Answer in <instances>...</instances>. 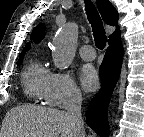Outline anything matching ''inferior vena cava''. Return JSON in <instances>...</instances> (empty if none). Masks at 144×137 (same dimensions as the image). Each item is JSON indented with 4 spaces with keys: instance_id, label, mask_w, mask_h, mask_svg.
I'll return each instance as SVG.
<instances>
[{
    "instance_id": "obj_1",
    "label": "inferior vena cava",
    "mask_w": 144,
    "mask_h": 137,
    "mask_svg": "<svg viewBox=\"0 0 144 137\" xmlns=\"http://www.w3.org/2000/svg\"><path fill=\"white\" fill-rule=\"evenodd\" d=\"M81 103V94L77 91H73L70 94L66 110L71 119L72 127L76 131L75 137H85L84 123L81 116Z\"/></svg>"
}]
</instances>
